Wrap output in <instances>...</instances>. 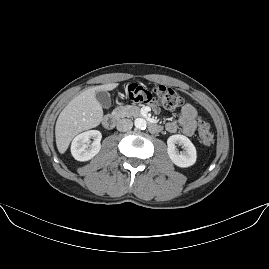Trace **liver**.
Listing matches in <instances>:
<instances>
[{"label": "liver", "instance_id": "6515ba94", "mask_svg": "<svg viewBox=\"0 0 269 269\" xmlns=\"http://www.w3.org/2000/svg\"><path fill=\"white\" fill-rule=\"evenodd\" d=\"M116 85L112 83L91 87L67 104L57 119L55 129L56 143L61 153L67 150L78 133L99 125L102 120V107L95 97L96 92L111 90Z\"/></svg>", "mask_w": 269, "mask_h": 269}]
</instances>
